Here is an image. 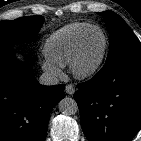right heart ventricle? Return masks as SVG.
I'll list each match as a JSON object with an SVG mask.
<instances>
[{
    "label": "right heart ventricle",
    "mask_w": 141,
    "mask_h": 141,
    "mask_svg": "<svg viewBox=\"0 0 141 141\" xmlns=\"http://www.w3.org/2000/svg\"><path fill=\"white\" fill-rule=\"evenodd\" d=\"M89 26V23L74 22L54 32L44 45L47 58L59 66L69 65L79 37Z\"/></svg>",
    "instance_id": "obj_1"
}]
</instances>
